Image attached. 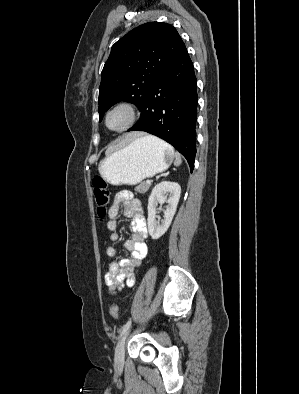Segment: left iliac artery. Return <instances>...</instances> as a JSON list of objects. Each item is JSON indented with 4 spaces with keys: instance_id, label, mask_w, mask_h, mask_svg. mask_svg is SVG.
I'll list each match as a JSON object with an SVG mask.
<instances>
[{
    "instance_id": "obj_1",
    "label": "left iliac artery",
    "mask_w": 299,
    "mask_h": 394,
    "mask_svg": "<svg viewBox=\"0 0 299 394\" xmlns=\"http://www.w3.org/2000/svg\"><path fill=\"white\" fill-rule=\"evenodd\" d=\"M130 325H131V320L126 322V324L122 327V331L120 333V336H122L124 334V332L130 327Z\"/></svg>"
}]
</instances>
